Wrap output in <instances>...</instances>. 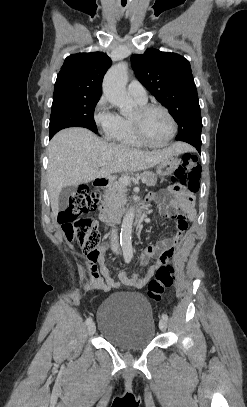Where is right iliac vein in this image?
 Listing matches in <instances>:
<instances>
[{
	"instance_id": "1",
	"label": "right iliac vein",
	"mask_w": 247,
	"mask_h": 407,
	"mask_svg": "<svg viewBox=\"0 0 247 407\" xmlns=\"http://www.w3.org/2000/svg\"><path fill=\"white\" fill-rule=\"evenodd\" d=\"M95 331H96V326H95V323L92 322L88 326V333H89V335H93L95 333Z\"/></svg>"
}]
</instances>
